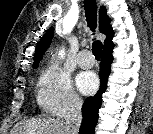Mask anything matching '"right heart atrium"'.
I'll use <instances>...</instances> for the list:
<instances>
[{
	"label": "right heart atrium",
	"mask_w": 153,
	"mask_h": 134,
	"mask_svg": "<svg viewBox=\"0 0 153 134\" xmlns=\"http://www.w3.org/2000/svg\"><path fill=\"white\" fill-rule=\"evenodd\" d=\"M37 103L43 111L63 117L78 111L82 99L69 75L58 65L50 64L39 77Z\"/></svg>",
	"instance_id": "d8ad5b80"
}]
</instances>
